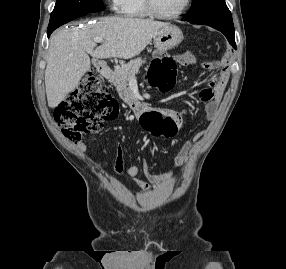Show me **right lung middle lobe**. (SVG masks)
<instances>
[{"mask_svg": "<svg viewBox=\"0 0 286 269\" xmlns=\"http://www.w3.org/2000/svg\"><path fill=\"white\" fill-rule=\"evenodd\" d=\"M104 7L102 0H57L48 29H56L90 12L104 10Z\"/></svg>", "mask_w": 286, "mask_h": 269, "instance_id": "obj_1", "label": "right lung middle lobe"}]
</instances>
